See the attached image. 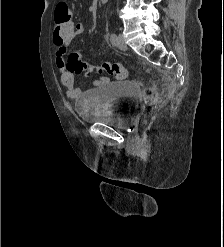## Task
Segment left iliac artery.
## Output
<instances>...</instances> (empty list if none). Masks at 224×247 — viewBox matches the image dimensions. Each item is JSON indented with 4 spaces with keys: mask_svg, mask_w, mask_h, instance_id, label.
<instances>
[{
    "mask_svg": "<svg viewBox=\"0 0 224 247\" xmlns=\"http://www.w3.org/2000/svg\"><path fill=\"white\" fill-rule=\"evenodd\" d=\"M110 41H111L112 45H114V46L117 45V35L115 33H112L110 35Z\"/></svg>",
    "mask_w": 224,
    "mask_h": 247,
    "instance_id": "44dca946",
    "label": "left iliac artery"
}]
</instances>
